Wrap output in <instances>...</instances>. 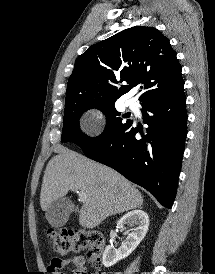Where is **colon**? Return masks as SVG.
Returning <instances> with one entry per match:
<instances>
[{
  "instance_id": "5ec220e1",
  "label": "colon",
  "mask_w": 215,
  "mask_h": 274,
  "mask_svg": "<svg viewBox=\"0 0 215 274\" xmlns=\"http://www.w3.org/2000/svg\"><path fill=\"white\" fill-rule=\"evenodd\" d=\"M47 234L55 251L60 255L85 251L88 261L94 267L101 266L105 240L100 232L84 229H49Z\"/></svg>"
}]
</instances>
